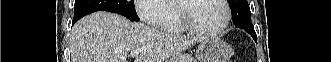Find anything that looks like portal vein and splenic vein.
I'll list each match as a JSON object with an SVG mask.
<instances>
[{"instance_id": "1", "label": "portal vein and splenic vein", "mask_w": 331, "mask_h": 62, "mask_svg": "<svg viewBox=\"0 0 331 62\" xmlns=\"http://www.w3.org/2000/svg\"><path fill=\"white\" fill-rule=\"evenodd\" d=\"M142 51H143V48L134 49V50L131 51L130 55L131 56H137Z\"/></svg>"}]
</instances>
